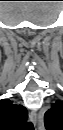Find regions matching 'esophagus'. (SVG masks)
<instances>
[{"label":"esophagus","mask_w":63,"mask_h":130,"mask_svg":"<svg viewBox=\"0 0 63 130\" xmlns=\"http://www.w3.org/2000/svg\"><path fill=\"white\" fill-rule=\"evenodd\" d=\"M30 120L32 121V123L34 125H36V123H37V113H36V111L30 112Z\"/></svg>","instance_id":"esophagus-1"}]
</instances>
